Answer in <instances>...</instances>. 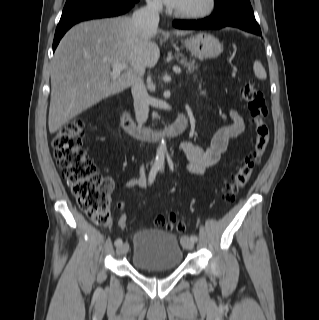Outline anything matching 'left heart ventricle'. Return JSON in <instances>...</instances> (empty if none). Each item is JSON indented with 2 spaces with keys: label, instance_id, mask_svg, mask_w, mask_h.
I'll return each mask as SVG.
<instances>
[{
  "label": "left heart ventricle",
  "instance_id": "b2bd125f",
  "mask_svg": "<svg viewBox=\"0 0 319 320\" xmlns=\"http://www.w3.org/2000/svg\"><path fill=\"white\" fill-rule=\"evenodd\" d=\"M206 0H184L183 4L178 8L179 11H195L204 7Z\"/></svg>",
  "mask_w": 319,
  "mask_h": 320
}]
</instances>
